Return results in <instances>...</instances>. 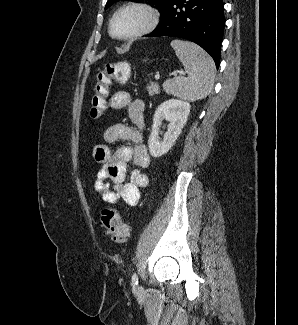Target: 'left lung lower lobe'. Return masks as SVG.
<instances>
[{
    "instance_id": "left-lung-lower-lobe-1",
    "label": "left lung lower lobe",
    "mask_w": 298,
    "mask_h": 325,
    "mask_svg": "<svg viewBox=\"0 0 298 325\" xmlns=\"http://www.w3.org/2000/svg\"><path fill=\"white\" fill-rule=\"evenodd\" d=\"M222 0H171L162 11L160 23L147 37L170 36L190 40L219 66L225 27Z\"/></svg>"
}]
</instances>
